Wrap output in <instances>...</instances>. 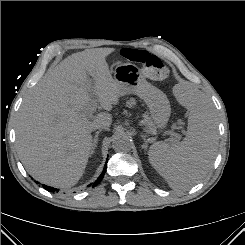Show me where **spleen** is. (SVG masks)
I'll use <instances>...</instances> for the list:
<instances>
[{"label": "spleen", "instance_id": "1", "mask_svg": "<svg viewBox=\"0 0 245 245\" xmlns=\"http://www.w3.org/2000/svg\"><path fill=\"white\" fill-rule=\"evenodd\" d=\"M181 101L189 111L186 138L173 146L156 142L149 149L150 164L178 190L191 187L208 173L219 143L216 115L206 95L186 85Z\"/></svg>", "mask_w": 245, "mask_h": 245}]
</instances>
